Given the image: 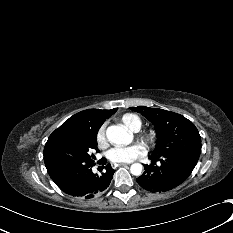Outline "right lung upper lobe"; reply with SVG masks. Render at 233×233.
Instances as JSON below:
<instances>
[{
	"mask_svg": "<svg viewBox=\"0 0 233 233\" xmlns=\"http://www.w3.org/2000/svg\"><path fill=\"white\" fill-rule=\"evenodd\" d=\"M116 111L117 108L111 110L88 109L73 115L49 136L44 148V157L57 138L63 135L97 131L104 121Z\"/></svg>",
	"mask_w": 233,
	"mask_h": 233,
	"instance_id": "cb5924a9",
	"label": "right lung upper lobe"
}]
</instances>
